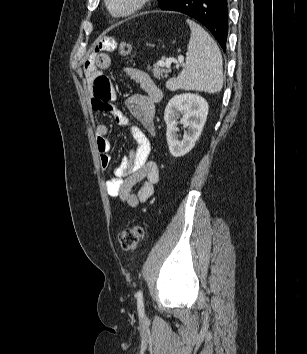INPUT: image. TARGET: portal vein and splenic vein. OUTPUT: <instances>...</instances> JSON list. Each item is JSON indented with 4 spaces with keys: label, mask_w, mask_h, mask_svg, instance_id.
<instances>
[{
    "label": "portal vein and splenic vein",
    "mask_w": 307,
    "mask_h": 354,
    "mask_svg": "<svg viewBox=\"0 0 307 354\" xmlns=\"http://www.w3.org/2000/svg\"><path fill=\"white\" fill-rule=\"evenodd\" d=\"M183 61H184V57L180 56V57H178V60L170 57V58H167L165 60V62L159 61L158 63L161 66H166L167 68H170L172 63H175L176 65H181L183 63Z\"/></svg>",
    "instance_id": "obj_1"
}]
</instances>
